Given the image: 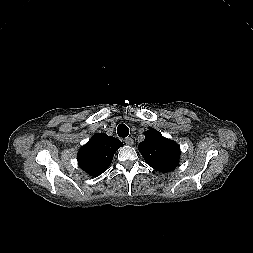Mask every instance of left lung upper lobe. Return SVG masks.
<instances>
[{
	"mask_svg": "<svg viewBox=\"0 0 253 253\" xmlns=\"http://www.w3.org/2000/svg\"><path fill=\"white\" fill-rule=\"evenodd\" d=\"M138 148L146 163L160 172L172 171L178 165L179 145L156 130L146 131L145 139Z\"/></svg>",
	"mask_w": 253,
	"mask_h": 253,
	"instance_id": "obj_1",
	"label": "left lung upper lobe"
}]
</instances>
